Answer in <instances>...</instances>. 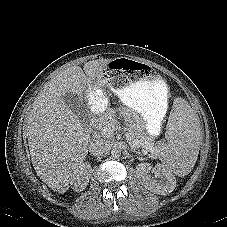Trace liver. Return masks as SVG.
Wrapping results in <instances>:
<instances>
[{"label":"liver","instance_id":"liver-1","mask_svg":"<svg viewBox=\"0 0 227 227\" xmlns=\"http://www.w3.org/2000/svg\"><path fill=\"white\" fill-rule=\"evenodd\" d=\"M111 59L71 66L53 77L37 95L28 117L31 161L39 178L53 191L65 193L75 169L88 154L90 134L65 103L68 93L89 101L87 86L104 83ZM84 103V102H83ZM89 106V104H87Z\"/></svg>","mask_w":227,"mask_h":227}]
</instances>
